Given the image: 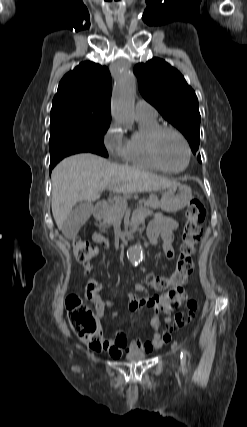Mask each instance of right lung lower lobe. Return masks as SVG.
<instances>
[{"instance_id": "obj_1", "label": "right lung lower lobe", "mask_w": 247, "mask_h": 427, "mask_svg": "<svg viewBox=\"0 0 247 427\" xmlns=\"http://www.w3.org/2000/svg\"><path fill=\"white\" fill-rule=\"evenodd\" d=\"M83 152L78 148H71V149H64V150H59L54 152L53 154H51V160H50V173L53 169V167L60 161L62 160L64 157L75 154V153H80Z\"/></svg>"}]
</instances>
